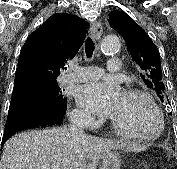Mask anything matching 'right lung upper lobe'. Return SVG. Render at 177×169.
Listing matches in <instances>:
<instances>
[{
  "label": "right lung upper lobe",
  "instance_id": "right-lung-upper-lobe-1",
  "mask_svg": "<svg viewBox=\"0 0 177 169\" xmlns=\"http://www.w3.org/2000/svg\"><path fill=\"white\" fill-rule=\"evenodd\" d=\"M85 36L83 19L71 14L52 15L26 40L15 79L30 77L57 82L60 69L76 55Z\"/></svg>",
  "mask_w": 177,
  "mask_h": 169
}]
</instances>
